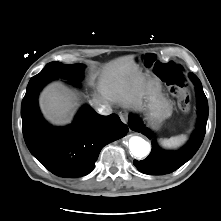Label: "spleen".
I'll use <instances>...</instances> for the list:
<instances>
[{"mask_svg":"<svg viewBox=\"0 0 221 221\" xmlns=\"http://www.w3.org/2000/svg\"><path fill=\"white\" fill-rule=\"evenodd\" d=\"M186 140L185 135H179V136H174L169 139H164L161 142V145L164 148H176L178 147L181 143H183Z\"/></svg>","mask_w":221,"mask_h":221,"instance_id":"3e777b00","label":"spleen"}]
</instances>
